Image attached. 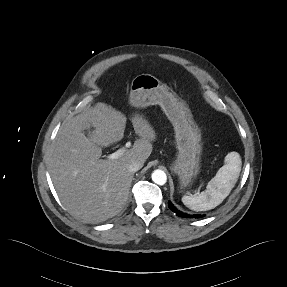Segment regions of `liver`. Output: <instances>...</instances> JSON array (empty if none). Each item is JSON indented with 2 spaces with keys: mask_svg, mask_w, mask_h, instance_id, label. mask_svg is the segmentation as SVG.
<instances>
[{
  "mask_svg": "<svg viewBox=\"0 0 287 287\" xmlns=\"http://www.w3.org/2000/svg\"><path fill=\"white\" fill-rule=\"evenodd\" d=\"M139 136L131 149L115 160L100 159L102 147L124 136L126 117L120 111L98 103L66 119L59 129L49 158V173L65 208L85 223H100L117 215L125 206L133 173L127 165H142L152 152L156 134L139 114L131 117ZM86 126L95 130L87 138Z\"/></svg>",
  "mask_w": 287,
  "mask_h": 287,
  "instance_id": "obj_1",
  "label": "liver"
}]
</instances>
